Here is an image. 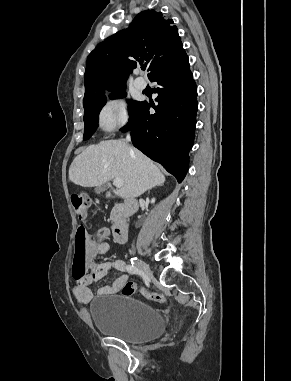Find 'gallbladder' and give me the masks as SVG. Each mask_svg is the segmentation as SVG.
I'll list each match as a JSON object with an SVG mask.
<instances>
[{
	"instance_id": "gallbladder-1",
	"label": "gallbladder",
	"mask_w": 291,
	"mask_h": 381,
	"mask_svg": "<svg viewBox=\"0 0 291 381\" xmlns=\"http://www.w3.org/2000/svg\"><path fill=\"white\" fill-rule=\"evenodd\" d=\"M107 187H108V183H104L103 185L97 187V188L95 189V192H96L97 194H100L101 192H104V191L107 189Z\"/></svg>"
}]
</instances>
